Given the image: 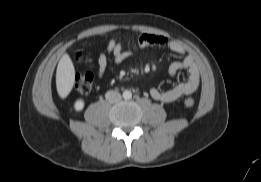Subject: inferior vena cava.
I'll use <instances>...</instances> for the list:
<instances>
[{
	"label": "inferior vena cava",
	"instance_id": "inferior-vena-cava-1",
	"mask_svg": "<svg viewBox=\"0 0 261 182\" xmlns=\"http://www.w3.org/2000/svg\"><path fill=\"white\" fill-rule=\"evenodd\" d=\"M105 98L110 103H116L121 100V94L119 92L111 90L106 92Z\"/></svg>",
	"mask_w": 261,
	"mask_h": 182
}]
</instances>
